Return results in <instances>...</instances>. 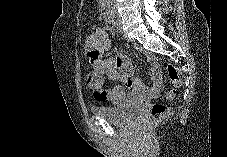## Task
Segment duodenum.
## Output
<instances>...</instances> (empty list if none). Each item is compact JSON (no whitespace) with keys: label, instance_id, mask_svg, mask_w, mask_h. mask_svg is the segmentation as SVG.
I'll return each instance as SVG.
<instances>
[{"label":"duodenum","instance_id":"410a0bca","mask_svg":"<svg viewBox=\"0 0 227 157\" xmlns=\"http://www.w3.org/2000/svg\"><path fill=\"white\" fill-rule=\"evenodd\" d=\"M104 20H106V23H115V16L107 15L106 17H104Z\"/></svg>","mask_w":227,"mask_h":157}]
</instances>
